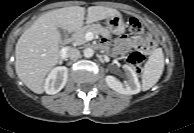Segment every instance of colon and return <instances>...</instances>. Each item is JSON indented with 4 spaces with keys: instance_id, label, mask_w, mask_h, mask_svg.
<instances>
[{
    "instance_id": "obj_1",
    "label": "colon",
    "mask_w": 194,
    "mask_h": 133,
    "mask_svg": "<svg viewBox=\"0 0 194 133\" xmlns=\"http://www.w3.org/2000/svg\"><path fill=\"white\" fill-rule=\"evenodd\" d=\"M129 27L133 33L140 34L144 28L142 23L137 18H131L129 20ZM126 62L131 65L138 73L141 72L142 64L144 61V54L137 49L135 51L128 52L125 55Z\"/></svg>"
}]
</instances>
